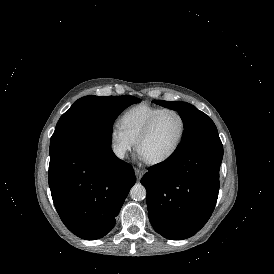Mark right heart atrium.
<instances>
[{"label":"right heart atrium","instance_id":"1","mask_svg":"<svg viewBox=\"0 0 274 274\" xmlns=\"http://www.w3.org/2000/svg\"><path fill=\"white\" fill-rule=\"evenodd\" d=\"M108 139L111 150L121 160H124L135 147V141L116 124L111 125Z\"/></svg>","mask_w":274,"mask_h":274}]
</instances>
